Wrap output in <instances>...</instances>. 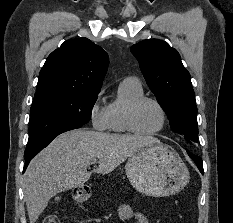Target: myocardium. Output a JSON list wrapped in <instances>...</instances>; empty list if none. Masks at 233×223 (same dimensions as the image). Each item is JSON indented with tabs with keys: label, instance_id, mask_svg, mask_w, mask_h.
<instances>
[{
	"label": "myocardium",
	"instance_id": "obj_1",
	"mask_svg": "<svg viewBox=\"0 0 233 223\" xmlns=\"http://www.w3.org/2000/svg\"><path fill=\"white\" fill-rule=\"evenodd\" d=\"M146 102H152V103L156 104L159 107V109L161 110L162 115H163L162 127L159 130H157L155 132H151V133L143 132L137 125L138 111H139L140 107ZM168 123H169L168 112H167L166 108L163 106V104L159 100H157L156 98L149 97V96H142V97L134 100L129 105V107L127 109V126H128V129L130 130V132L135 134V135L142 136V137L157 136L166 130Z\"/></svg>",
	"mask_w": 233,
	"mask_h": 223
}]
</instances>
